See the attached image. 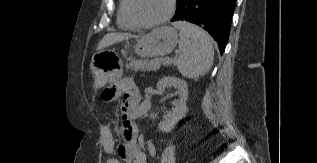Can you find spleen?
I'll use <instances>...</instances> for the list:
<instances>
[{
	"label": "spleen",
	"mask_w": 317,
	"mask_h": 163,
	"mask_svg": "<svg viewBox=\"0 0 317 163\" xmlns=\"http://www.w3.org/2000/svg\"><path fill=\"white\" fill-rule=\"evenodd\" d=\"M173 26L180 33V55L177 60L180 73L187 78H198L208 73L214 59L210 35L185 21L174 22Z\"/></svg>",
	"instance_id": "obj_1"
}]
</instances>
